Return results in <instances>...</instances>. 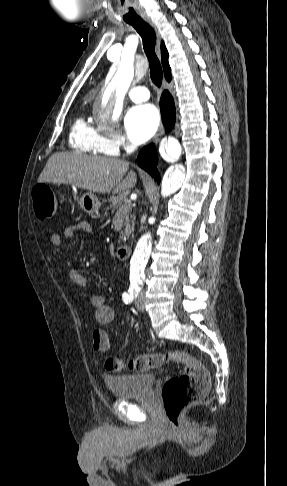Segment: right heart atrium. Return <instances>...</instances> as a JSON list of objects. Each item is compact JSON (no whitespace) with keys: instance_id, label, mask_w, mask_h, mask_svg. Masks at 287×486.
I'll return each mask as SVG.
<instances>
[{"instance_id":"obj_1","label":"right heart atrium","mask_w":287,"mask_h":486,"mask_svg":"<svg viewBox=\"0 0 287 486\" xmlns=\"http://www.w3.org/2000/svg\"><path fill=\"white\" fill-rule=\"evenodd\" d=\"M100 147L106 154H117L120 149H130L132 146L119 134L102 136Z\"/></svg>"}]
</instances>
